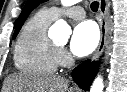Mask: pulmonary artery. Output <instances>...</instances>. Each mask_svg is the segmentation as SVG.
<instances>
[{
  "instance_id": "1",
  "label": "pulmonary artery",
  "mask_w": 127,
  "mask_h": 92,
  "mask_svg": "<svg viewBox=\"0 0 127 92\" xmlns=\"http://www.w3.org/2000/svg\"><path fill=\"white\" fill-rule=\"evenodd\" d=\"M52 18L56 19L61 16H68L74 19H82L85 17V11L80 6L56 7L52 6L45 9Z\"/></svg>"
}]
</instances>
